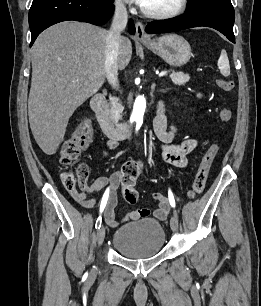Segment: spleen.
I'll use <instances>...</instances> for the list:
<instances>
[{"label":"spleen","instance_id":"spleen-1","mask_svg":"<svg viewBox=\"0 0 261 306\" xmlns=\"http://www.w3.org/2000/svg\"><path fill=\"white\" fill-rule=\"evenodd\" d=\"M218 67L223 76L228 77L230 75V65L228 56L225 50L221 51L220 57L218 59Z\"/></svg>","mask_w":261,"mask_h":306}]
</instances>
